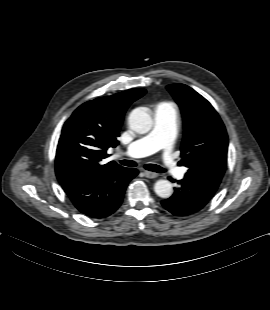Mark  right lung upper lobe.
Returning a JSON list of instances; mask_svg holds the SVG:
<instances>
[{
    "label": "right lung upper lobe",
    "mask_w": 270,
    "mask_h": 310,
    "mask_svg": "<svg viewBox=\"0 0 270 310\" xmlns=\"http://www.w3.org/2000/svg\"><path fill=\"white\" fill-rule=\"evenodd\" d=\"M146 93L136 88L97 98L78 107L65 122L56 151L59 182L118 167L107 158V149L118 144L120 127L129 105Z\"/></svg>",
    "instance_id": "right-lung-upper-lobe-1"
}]
</instances>
